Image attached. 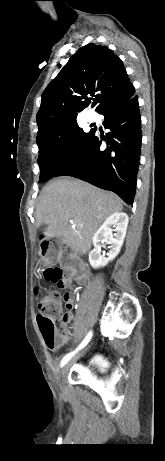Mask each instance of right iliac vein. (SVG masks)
<instances>
[{"label": "right iliac vein", "instance_id": "right-iliac-vein-1", "mask_svg": "<svg viewBox=\"0 0 165 461\" xmlns=\"http://www.w3.org/2000/svg\"><path fill=\"white\" fill-rule=\"evenodd\" d=\"M86 351H87V349L84 350L82 353L76 355L73 359H71L69 362H67L65 364V366L63 367V370H62V376L63 377L68 373V371H69L70 367L72 366V364H74L76 362V360L79 359Z\"/></svg>", "mask_w": 165, "mask_h": 461}]
</instances>
